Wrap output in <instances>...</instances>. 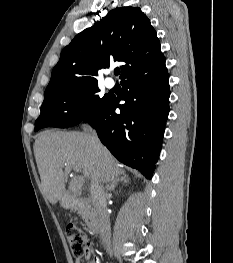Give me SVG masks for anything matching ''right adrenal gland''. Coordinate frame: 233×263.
<instances>
[{
	"label": "right adrenal gland",
	"instance_id": "1",
	"mask_svg": "<svg viewBox=\"0 0 233 263\" xmlns=\"http://www.w3.org/2000/svg\"><path fill=\"white\" fill-rule=\"evenodd\" d=\"M130 179L128 178V175L126 174H123L122 176H120L118 178V180L116 182H114L113 184H111V186L109 187V190L110 191H114L115 188L119 185V183H122V184H127L129 183Z\"/></svg>",
	"mask_w": 233,
	"mask_h": 263
}]
</instances>
